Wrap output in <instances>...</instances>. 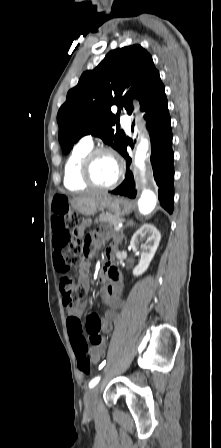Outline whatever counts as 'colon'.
<instances>
[{"label":"colon","instance_id":"colon-1","mask_svg":"<svg viewBox=\"0 0 221 448\" xmlns=\"http://www.w3.org/2000/svg\"><path fill=\"white\" fill-rule=\"evenodd\" d=\"M53 210L62 215V219L53 221L54 228V266L63 277L60 281L62 302L65 308L73 309L85 294L82 284L76 283L70 276L73 266L85 263L90 257V239L82 238L77 231L79 217L76 213L69 211V201L65 196H57L53 200ZM68 332L72 338L77 368L84 375L91 372V361L89 358V346L86 341L79 339L83 332V326L79 319L69 318L67 321ZM85 331L89 337L90 344L95 347L103 342L100 335L101 322L99 316L91 312L85 321Z\"/></svg>","mask_w":221,"mask_h":448}]
</instances>
